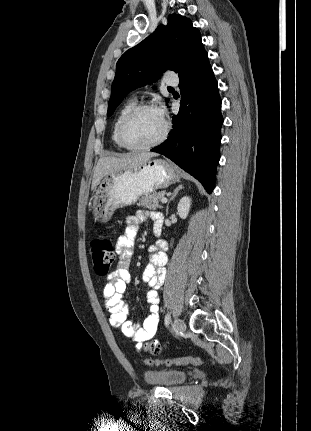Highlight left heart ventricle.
Returning a JSON list of instances; mask_svg holds the SVG:
<instances>
[{"label":"left heart ventricle","instance_id":"1","mask_svg":"<svg viewBox=\"0 0 311 431\" xmlns=\"http://www.w3.org/2000/svg\"><path fill=\"white\" fill-rule=\"evenodd\" d=\"M164 120L155 109H148L137 115L127 127V137L134 145L152 142L161 135Z\"/></svg>","mask_w":311,"mask_h":431}]
</instances>
